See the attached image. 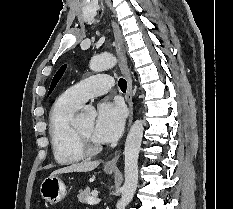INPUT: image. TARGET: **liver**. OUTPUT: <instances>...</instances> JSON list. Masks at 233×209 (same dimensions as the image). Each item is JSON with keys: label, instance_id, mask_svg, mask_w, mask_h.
Segmentation results:
<instances>
[{"label": "liver", "instance_id": "liver-1", "mask_svg": "<svg viewBox=\"0 0 233 209\" xmlns=\"http://www.w3.org/2000/svg\"><path fill=\"white\" fill-rule=\"evenodd\" d=\"M99 164H100L99 161L76 163L70 166L57 169L53 171L50 176L63 174V173H71V172H89L97 168Z\"/></svg>", "mask_w": 233, "mask_h": 209}]
</instances>
